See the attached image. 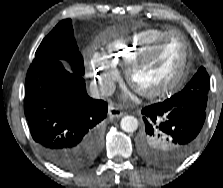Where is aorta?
Segmentation results:
<instances>
[{"mask_svg": "<svg viewBox=\"0 0 223 188\" xmlns=\"http://www.w3.org/2000/svg\"><path fill=\"white\" fill-rule=\"evenodd\" d=\"M120 126L123 131L132 133L138 128V120L134 116H125L121 119Z\"/></svg>", "mask_w": 223, "mask_h": 188, "instance_id": "aorta-1", "label": "aorta"}]
</instances>
